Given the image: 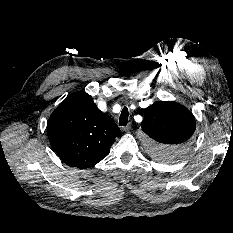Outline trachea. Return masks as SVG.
Wrapping results in <instances>:
<instances>
[{
    "label": "trachea",
    "instance_id": "trachea-1",
    "mask_svg": "<svg viewBox=\"0 0 233 233\" xmlns=\"http://www.w3.org/2000/svg\"><path fill=\"white\" fill-rule=\"evenodd\" d=\"M128 116H129V112L127 107H124L121 111V115L119 118V125L120 126H126L128 123Z\"/></svg>",
    "mask_w": 233,
    "mask_h": 233
}]
</instances>
